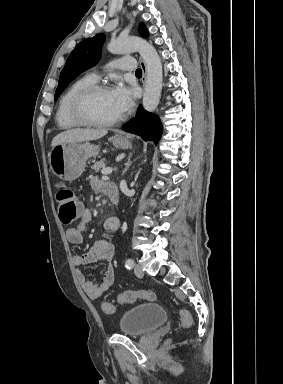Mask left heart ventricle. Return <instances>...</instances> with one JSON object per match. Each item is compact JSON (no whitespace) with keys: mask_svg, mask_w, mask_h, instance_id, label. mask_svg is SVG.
Returning a JSON list of instances; mask_svg holds the SVG:
<instances>
[{"mask_svg":"<svg viewBox=\"0 0 283 384\" xmlns=\"http://www.w3.org/2000/svg\"><path fill=\"white\" fill-rule=\"evenodd\" d=\"M83 114L98 122H107L121 115L111 99L109 89L98 91L90 97L84 104Z\"/></svg>","mask_w":283,"mask_h":384,"instance_id":"left-heart-ventricle-1","label":"left heart ventricle"}]
</instances>
